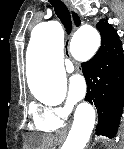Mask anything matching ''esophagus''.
<instances>
[{
    "label": "esophagus",
    "mask_w": 124,
    "mask_h": 149,
    "mask_svg": "<svg viewBox=\"0 0 124 149\" xmlns=\"http://www.w3.org/2000/svg\"><path fill=\"white\" fill-rule=\"evenodd\" d=\"M69 5V1H65ZM67 132V128L61 130V134H65Z\"/></svg>",
    "instance_id": "34e87169"
}]
</instances>
